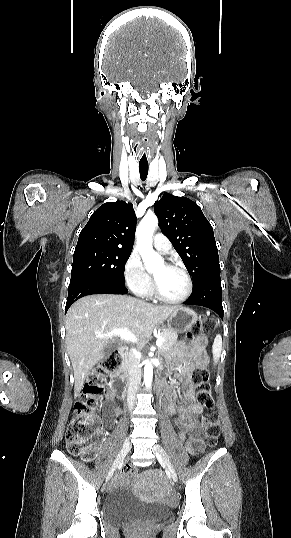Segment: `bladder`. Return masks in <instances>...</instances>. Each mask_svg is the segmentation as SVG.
Returning a JSON list of instances; mask_svg holds the SVG:
<instances>
[{
  "label": "bladder",
  "instance_id": "bladder-1",
  "mask_svg": "<svg viewBox=\"0 0 291 538\" xmlns=\"http://www.w3.org/2000/svg\"><path fill=\"white\" fill-rule=\"evenodd\" d=\"M106 521L115 525L127 524L134 519L158 520L167 516L168 510L155 503L139 500L128 486L122 485L107 495L103 503Z\"/></svg>",
  "mask_w": 291,
  "mask_h": 538
}]
</instances>
